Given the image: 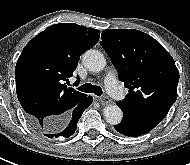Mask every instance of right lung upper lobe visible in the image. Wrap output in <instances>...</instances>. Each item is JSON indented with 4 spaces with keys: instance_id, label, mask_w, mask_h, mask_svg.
<instances>
[{
    "instance_id": "cb5924a9",
    "label": "right lung upper lobe",
    "mask_w": 190,
    "mask_h": 165,
    "mask_svg": "<svg viewBox=\"0 0 190 165\" xmlns=\"http://www.w3.org/2000/svg\"><path fill=\"white\" fill-rule=\"evenodd\" d=\"M99 37L97 29L60 23L39 33L23 49L15 67L16 91L22 108L39 130L59 126L87 98L64 81H69L80 55Z\"/></svg>"
}]
</instances>
